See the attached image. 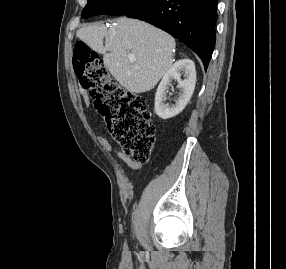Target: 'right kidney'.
<instances>
[{"label":"right kidney","instance_id":"obj_1","mask_svg":"<svg viewBox=\"0 0 286 269\" xmlns=\"http://www.w3.org/2000/svg\"><path fill=\"white\" fill-rule=\"evenodd\" d=\"M184 74L185 79H181ZM177 80L181 88L180 97L171 107L165 104L166 91L172 80ZM196 84V70L194 62L190 59H182L174 63L162 78L155 95V112L162 119H169L186 107L193 95Z\"/></svg>","mask_w":286,"mask_h":269}]
</instances>
